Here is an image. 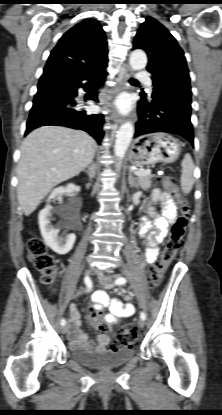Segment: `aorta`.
<instances>
[{
  "instance_id": "762f6f07",
  "label": "aorta",
  "mask_w": 222,
  "mask_h": 415,
  "mask_svg": "<svg viewBox=\"0 0 222 415\" xmlns=\"http://www.w3.org/2000/svg\"><path fill=\"white\" fill-rule=\"evenodd\" d=\"M129 63L133 70L144 69L147 65V56L145 52L140 49L134 50L130 55ZM133 134L134 126L129 121L122 124L119 130L117 131L114 153L115 156L118 157L120 160L123 159L130 145ZM120 164L121 162L117 164L118 171L120 169Z\"/></svg>"
}]
</instances>
